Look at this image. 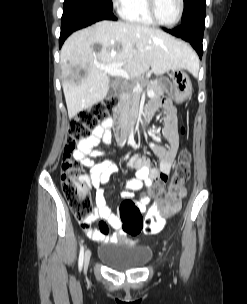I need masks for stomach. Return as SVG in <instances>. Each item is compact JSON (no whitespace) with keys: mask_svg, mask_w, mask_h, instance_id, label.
<instances>
[{"mask_svg":"<svg viewBox=\"0 0 247 304\" xmlns=\"http://www.w3.org/2000/svg\"><path fill=\"white\" fill-rule=\"evenodd\" d=\"M171 82L165 85L168 95L176 102L182 103L192 93V84L189 76L181 69L172 70Z\"/></svg>","mask_w":247,"mask_h":304,"instance_id":"stomach-1","label":"stomach"}]
</instances>
